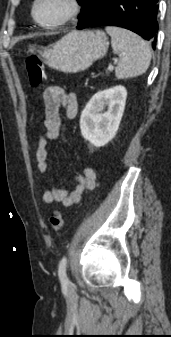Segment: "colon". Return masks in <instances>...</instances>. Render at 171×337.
Instances as JSON below:
<instances>
[{
	"instance_id": "1",
	"label": "colon",
	"mask_w": 171,
	"mask_h": 337,
	"mask_svg": "<svg viewBox=\"0 0 171 337\" xmlns=\"http://www.w3.org/2000/svg\"><path fill=\"white\" fill-rule=\"evenodd\" d=\"M26 70L29 77V82L32 86L41 85L46 77L44 66L37 56H29L25 61ZM64 222L63 213L54 211L50 216V226L54 231H59Z\"/></svg>"
}]
</instances>
